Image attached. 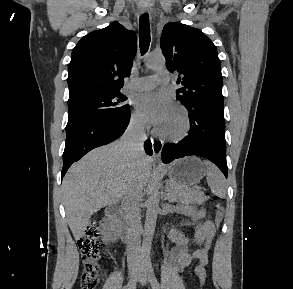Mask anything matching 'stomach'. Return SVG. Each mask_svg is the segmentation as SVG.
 <instances>
[{
  "instance_id": "1",
  "label": "stomach",
  "mask_w": 293,
  "mask_h": 289,
  "mask_svg": "<svg viewBox=\"0 0 293 289\" xmlns=\"http://www.w3.org/2000/svg\"><path fill=\"white\" fill-rule=\"evenodd\" d=\"M169 178L174 183L190 186L199 182L206 173L204 163L197 157H186L168 166Z\"/></svg>"
}]
</instances>
